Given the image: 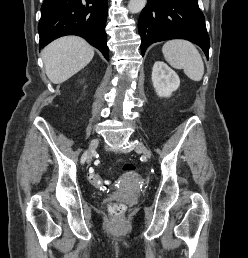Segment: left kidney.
Returning <instances> with one entry per match:
<instances>
[{
	"instance_id": "obj_1",
	"label": "left kidney",
	"mask_w": 248,
	"mask_h": 258,
	"mask_svg": "<svg viewBox=\"0 0 248 258\" xmlns=\"http://www.w3.org/2000/svg\"><path fill=\"white\" fill-rule=\"evenodd\" d=\"M152 83L159 97H170L180 86V79L166 63L156 61L152 69Z\"/></svg>"
}]
</instances>
